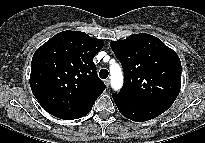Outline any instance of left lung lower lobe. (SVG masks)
I'll return each mask as SVG.
<instances>
[{
	"instance_id": "1",
	"label": "left lung lower lobe",
	"mask_w": 205,
	"mask_h": 143,
	"mask_svg": "<svg viewBox=\"0 0 205 143\" xmlns=\"http://www.w3.org/2000/svg\"><path fill=\"white\" fill-rule=\"evenodd\" d=\"M120 113L136 122L148 121L165 112L173 103L160 102L146 105H132L122 102L113 97Z\"/></svg>"
}]
</instances>
